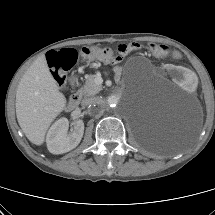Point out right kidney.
<instances>
[{"label":"right kidney","mask_w":215,"mask_h":215,"mask_svg":"<svg viewBox=\"0 0 215 215\" xmlns=\"http://www.w3.org/2000/svg\"><path fill=\"white\" fill-rule=\"evenodd\" d=\"M69 122L60 118L49 129L46 137L47 148L52 154H62L74 149L80 143L84 133L82 120L75 122L74 130L68 134Z\"/></svg>","instance_id":"right-kidney-1"}]
</instances>
